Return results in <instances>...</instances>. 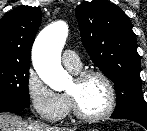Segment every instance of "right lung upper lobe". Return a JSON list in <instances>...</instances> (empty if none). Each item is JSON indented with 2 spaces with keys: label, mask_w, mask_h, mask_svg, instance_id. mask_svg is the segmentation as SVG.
Returning <instances> with one entry per match:
<instances>
[{
  "label": "right lung upper lobe",
  "mask_w": 147,
  "mask_h": 131,
  "mask_svg": "<svg viewBox=\"0 0 147 131\" xmlns=\"http://www.w3.org/2000/svg\"><path fill=\"white\" fill-rule=\"evenodd\" d=\"M39 7L19 6L0 20V61L30 65L33 39L39 29Z\"/></svg>",
  "instance_id": "1"
}]
</instances>
